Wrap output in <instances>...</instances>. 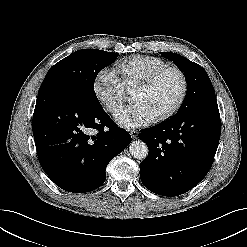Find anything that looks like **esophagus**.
Returning a JSON list of instances; mask_svg holds the SVG:
<instances>
[{"label": "esophagus", "instance_id": "34e87169", "mask_svg": "<svg viewBox=\"0 0 247 247\" xmlns=\"http://www.w3.org/2000/svg\"><path fill=\"white\" fill-rule=\"evenodd\" d=\"M130 132V135H131V137L133 138V139H136L137 138V136H138V131L137 130H130L129 131Z\"/></svg>", "mask_w": 247, "mask_h": 247}]
</instances>
